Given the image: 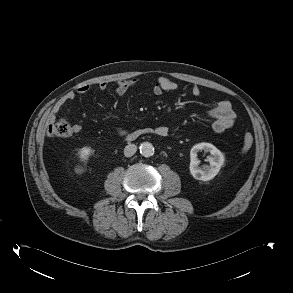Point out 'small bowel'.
Returning <instances> with one entry per match:
<instances>
[{
    "label": "small bowel",
    "mask_w": 293,
    "mask_h": 293,
    "mask_svg": "<svg viewBox=\"0 0 293 293\" xmlns=\"http://www.w3.org/2000/svg\"><path fill=\"white\" fill-rule=\"evenodd\" d=\"M137 84V79L121 80L116 84L115 92L122 96L127 93L132 87ZM178 84L164 76H160L156 79L152 93L155 96H159L164 92L175 91L178 89ZM98 88L101 91L106 90L107 84L102 82L98 84ZM90 90L88 85L78 87L75 91L66 94L53 108L52 115L58 113L62 106L70 101H73L77 95L86 94ZM193 96L198 97L201 94V90L197 85L191 88ZM209 117L213 119L212 128L215 133H223L227 129L231 128L235 122L236 114L232 108V105L227 100H221L217 102L212 108L207 111ZM82 130L80 124H74L71 127V134H78ZM155 133L159 136L165 137L169 134V128L164 125H160L154 129ZM120 135H125L127 131L125 129H118Z\"/></svg>",
    "instance_id": "obj_1"
}]
</instances>
